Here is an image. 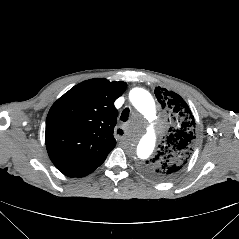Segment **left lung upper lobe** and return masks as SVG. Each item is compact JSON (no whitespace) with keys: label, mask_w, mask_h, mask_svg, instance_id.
Returning a JSON list of instances; mask_svg holds the SVG:
<instances>
[{"label":"left lung upper lobe","mask_w":239,"mask_h":239,"mask_svg":"<svg viewBox=\"0 0 239 239\" xmlns=\"http://www.w3.org/2000/svg\"><path fill=\"white\" fill-rule=\"evenodd\" d=\"M154 93L170 122L169 136L159 146L157 155L142 166V171L158 181L177 177L188 164L195 145V120L180 95L156 87Z\"/></svg>","instance_id":"left-lung-upper-lobe-1"}]
</instances>
